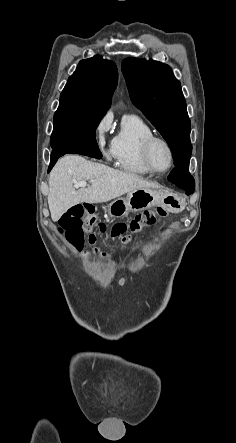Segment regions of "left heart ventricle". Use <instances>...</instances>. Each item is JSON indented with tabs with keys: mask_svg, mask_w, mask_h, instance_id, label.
<instances>
[{
	"mask_svg": "<svg viewBox=\"0 0 236 443\" xmlns=\"http://www.w3.org/2000/svg\"><path fill=\"white\" fill-rule=\"evenodd\" d=\"M153 165L158 170H165L169 166L170 156L167 148L162 143H155L151 150Z\"/></svg>",
	"mask_w": 236,
	"mask_h": 443,
	"instance_id": "1",
	"label": "left heart ventricle"
}]
</instances>
